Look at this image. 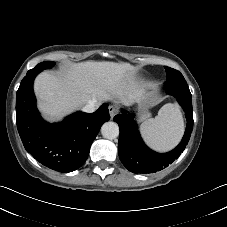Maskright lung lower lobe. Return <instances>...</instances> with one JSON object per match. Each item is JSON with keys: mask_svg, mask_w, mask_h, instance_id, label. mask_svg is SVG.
<instances>
[{"mask_svg": "<svg viewBox=\"0 0 227 227\" xmlns=\"http://www.w3.org/2000/svg\"><path fill=\"white\" fill-rule=\"evenodd\" d=\"M40 70H29L16 95V123L23 145L38 162L59 172L81 167L101 126L109 121L108 104L91 114L76 112L60 123L45 122L37 108L33 81Z\"/></svg>", "mask_w": 227, "mask_h": 227, "instance_id": "98d812e1", "label": "right lung lower lobe"}]
</instances>
